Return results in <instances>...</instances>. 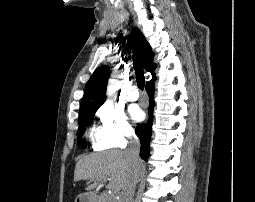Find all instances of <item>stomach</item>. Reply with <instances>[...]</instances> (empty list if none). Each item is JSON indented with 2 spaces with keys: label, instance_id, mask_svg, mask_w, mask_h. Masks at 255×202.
Listing matches in <instances>:
<instances>
[{
  "label": "stomach",
  "instance_id": "1",
  "mask_svg": "<svg viewBox=\"0 0 255 202\" xmlns=\"http://www.w3.org/2000/svg\"><path fill=\"white\" fill-rule=\"evenodd\" d=\"M96 201H97L96 197L90 194H81L75 199V202H96Z\"/></svg>",
  "mask_w": 255,
  "mask_h": 202
}]
</instances>
